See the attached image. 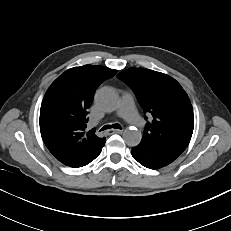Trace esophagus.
Listing matches in <instances>:
<instances>
[{
    "instance_id": "34e87169",
    "label": "esophagus",
    "mask_w": 231,
    "mask_h": 231,
    "mask_svg": "<svg viewBox=\"0 0 231 231\" xmlns=\"http://www.w3.org/2000/svg\"><path fill=\"white\" fill-rule=\"evenodd\" d=\"M122 132H123V130H120V129H111L108 131L109 134H111V133L121 134Z\"/></svg>"
}]
</instances>
